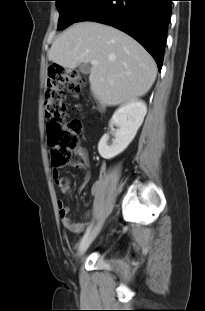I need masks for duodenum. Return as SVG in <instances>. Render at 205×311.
Here are the masks:
<instances>
[{"label": "duodenum", "mask_w": 205, "mask_h": 311, "mask_svg": "<svg viewBox=\"0 0 205 311\" xmlns=\"http://www.w3.org/2000/svg\"><path fill=\"white\" fill-rule=\"evenodd\" d=\"M93 97H94V99H95V101H96L97 106H98L99 108H103V107H104V104H103L101 98H100L96 93H94Z\"/></svg>", "instance_id": "410a0bca"}]
</instances>
